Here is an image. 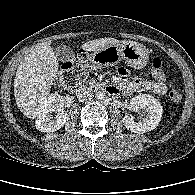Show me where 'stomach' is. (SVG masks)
<instances>
[{
	"label": "stomach",
	"instance_id": "0dacf381",
	"mask_svg": "<svg viewBox=\"0 0 195 195\" xmlns=\"http://www.w3.org/2000/svg\"><path fill=\"white\" fill-rule=\"evenodd\" d=\"M149 54L147 49L140 43L122 41L111 44L99 51L92 52L89 57L93 69H101L117 64L121 59L129 66L141 69L146 66Z\"/></svg>",
	"mask_w": 195,
	"mask_h": 195
}]
</instances>
